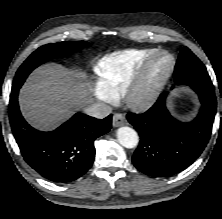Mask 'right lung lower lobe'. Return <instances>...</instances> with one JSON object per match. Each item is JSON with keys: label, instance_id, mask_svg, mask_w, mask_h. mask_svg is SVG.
Listing matches in <instances>:
<instances>
[{"label": "right lung lower lobe", "instance_id": "1", "mask_svg": "<svg viewBox=\"0 0 222 219\" xmlns=\"http://www.w3.org/2000/svg\"><path fill=\"white\" fill-rule=\"evenodd\" d=\"M9 119L25 161L42 177L68 183L83 176L95 157L94 141L111 128L112 115L96 119L77 113L54 131L32 128L18 107V90H12Z\"/></svg>", "mask_w": 222, "mask_h": 219}]
</instances>
